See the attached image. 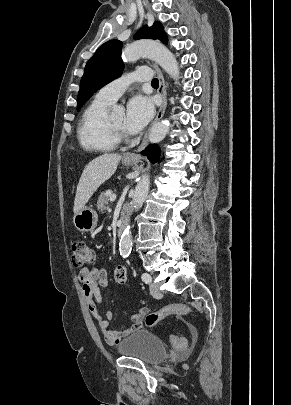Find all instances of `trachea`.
Here are the masks:
<instances>
[{
    "mask_svg": "<svg viewBox=\"0 0 291 405\" xmlns=\"http://www.w3.org/2000/svg\"><path fill=\"white\" fill-rule=\"evenodd\" d=\"M151 85L158 86V85H159L158 79H157V78H154V79L152 80V82H151Z\"/></svg>",
    "mask_w": 291,
    "mask_h": 405,
    "instance_id": "3493384b",
    "label": "trachea"
}]
</instances>
